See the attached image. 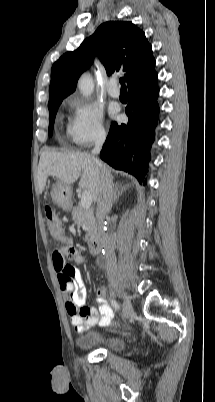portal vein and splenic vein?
Instances as JSON below:
<instances>
[{"instance_id":"obj_1","label":"portal vein and splenic vein","mask_w":215,"mask_h":402,"mask_svg":"<svg viewBox=\"0 0 215 402\" xmlns=\"http://www.w3.org/2000/svg\"><path fill=\"white\" fill-rule=\"evenodd\" d=\"M92 204V196L88 191H84L81 197V206L85 209L90 208Z\"/></svg>"}]
</instances>
